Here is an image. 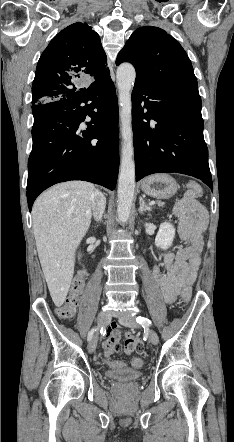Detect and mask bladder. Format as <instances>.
Here are the masks:
<instances>
[{
  "label": "bladder",
  "instance_id": "bladder-1",
  "mask_svg": "<svg viewBox=\"0 0 234 442\" xmlns=\"http://www.w3.org/2000/svg\"><path fill=\"white\" fill-rule=\"evenodd\" d=\"M107 376L115 381L129 382L142 378L144 376V373L143 371L138 369L124 367L110 370L107 373Z\"/></svg>",
  "mask_w": 234,
  "mask_h": 442
}]
</instances>
